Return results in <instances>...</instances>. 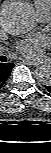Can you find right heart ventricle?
I'll use <instances>...</instances> for the list:
<instances>
[{
  "mask_svg": "<svg viewBox=\"0 0 51 153\" xmlns=\"http://www.w3.org/2000/svg\"><path fill=\"white\" fill-rule=\"evenodd\" d=\"M37 14L48 12L51 13V0H34Z\"/></svg>",
  "mask_w": 51,
  "mask_h": 153,
  "instance_id": "1",
  "label": "right heart ventricle"
}]
</instances>
